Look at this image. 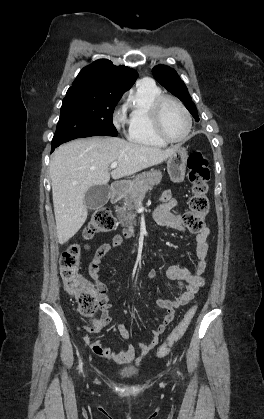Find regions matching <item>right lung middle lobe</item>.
Instances as JSON below:
<instances>
[{
  "label": "right lung middle lobe",
  "instance_id": "right-lung-middle-lobe-1",
  "mask_svg": "<svg viewBox=\"0 0 264 419\" xmlns=\"http://www.w3.org/2000/svg\"><path fill=\"white\" fill-rule=\"evenodd\" d=\"M121 96L84 88L68 89L52 146L83 135L117 136L112 117Z\"/></svg>",
  "mask_w": 264,
  "mask_h": 419
}]
</instances>
